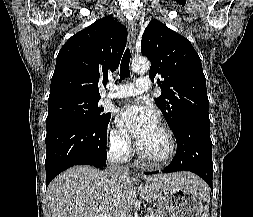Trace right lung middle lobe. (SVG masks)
I'll return each mask as SVG.
<instances>
[{
	"label": "right lung middle lobe",
	"instance_id": "dd1d6c3e",
	"mask_svg": "<svg viewBox=\"0 0 253 217\" xmlns=\"http://www.w3.org/2000/svg\"><path fill=\"white\" fill-rule=\"evenodd\" d=\"M100 98L68 97L48 102L46 125L64 120H81L101 125L110 120L111 114L104 113L98 105Z\"/></svg>",
	"mask_w": 253,
	"mask_h": 217
}]
</instances>
